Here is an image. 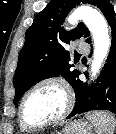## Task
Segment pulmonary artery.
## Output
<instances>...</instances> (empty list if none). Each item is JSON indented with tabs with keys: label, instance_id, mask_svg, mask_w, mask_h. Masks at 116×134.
Returning a JSON list of instances; mask_svg holds the SVG:
<instances>
[{
	"label": "pulmonary artery",
	"instance_id": "pulmonary-artery-1",
	"mask_svg": "<svg viewBox=\"0 0 116 134\" xmlns=\"http://www.w3.org/2000/svg\"><path fill=\"white\" fill-rule=\"evenodd\" d=\"M77 50H78L79 52H88L89 46H88V44L85 43V42H79V43L77 44Z\"/></svg>",
	"mask_w": 116,
	"mask_h": 134
}]
</instances>
